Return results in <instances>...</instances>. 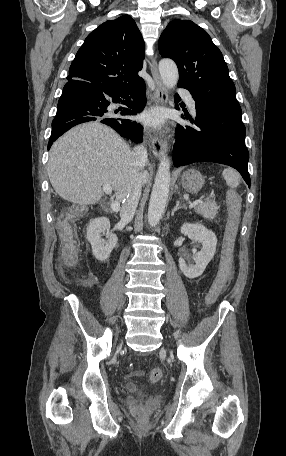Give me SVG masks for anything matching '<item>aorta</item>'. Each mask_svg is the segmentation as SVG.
I'll list each match as a JSON object with an SVG mask.
<instances>
[{"label": "aorta", "mask_w": 286, "mask_h": 456, "mask_svg": "<svg viewBox=\"0 0 286 456\" xmlns=\"http://www.w3.org/2000/svg\"><path fill=\"white\" fill-rule=\"evenodd\" d=\"M159 73L165 87L171 89L176 86L179 73L173 60L162 59L159 62ZM169 187L170 160L164 155L158 166L148 207V223L150 226H156L164 213L169 195Z\"/></svg>", "instance_id": "aorta-1"}]
</instances>
